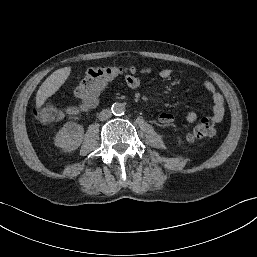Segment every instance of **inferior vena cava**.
Wrapping results in <instances>:
<instances>
[{"mask_svg": "<svg viewBox=\"0 0 257 257\" xmlns=\"http://www.w3.org/2000/svg\"><path fill=\"white\" fill-rule=\"evenodd\" d=\"M112 116V112L108 109L102 110L99 114V119L101 121L107 120Z\"/></svg>", "mask_w": 257, "mask_h": 257, "instance_id": "1", "label": "inferior vena cava"}]
</instances>
